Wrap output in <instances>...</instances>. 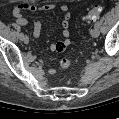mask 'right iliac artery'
<instances>
[{"mask_svg":"<svg viewBox=\"0 0 119 119\" xmlns=\"http://www.w3.org/2000/svg\"><path fill=\"white\" fill-rule=\"evenodd\" d=\"M23 37H24V34L21 32V33L19 34V38L22 40Z\"/></svg>","mask_w":119,"mask_h":119,"instance_id":"1","label":"right iliac artery"}]
</instances>
